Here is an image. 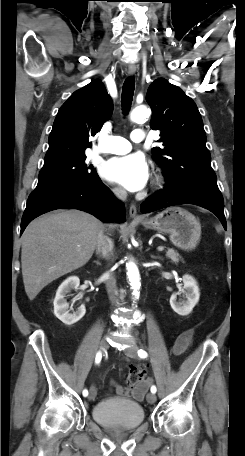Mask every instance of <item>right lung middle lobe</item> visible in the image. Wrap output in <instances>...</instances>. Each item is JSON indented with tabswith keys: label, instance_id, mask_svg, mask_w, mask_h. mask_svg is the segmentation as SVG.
I'll return each mask as SVG.
<instances>
[{
	"label": "right lung middle lobe",
	"instance_id": "obj_1",
	"mask_svg": "<svg viewBox=\"0 0 245 456\" xmlns=\"http://www.w3.org/2000/svg\"><path fill=\"white\" fill-rule=\"evenodd\" d=\"M85 160L86 156H81L43 167L35 190L86 183L98 178L95 169L87 166Z\"/></svg>",
	"mask_w": 245,
	"mask_h": 456
}]
</instances>
